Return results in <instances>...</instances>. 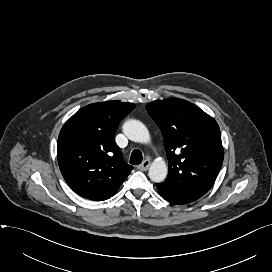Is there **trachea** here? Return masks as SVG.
Masks as SVG:
<instances>
[{
    "label": "trachea",
    "mask_w": 272,
    "mask_h": 272,
    "mask_svg": "<svg viewBox=\"0 0 272 272\" xmlns=\"http://www.w3.org/2000/svg\"><path fill=\"white\" fill-rule=\"evenodd\" d=\"M143 159L142 152L138 149H135L132 151L131 156H130V163L133 165H138L141 164Z\"/></svg>",
    "instance_id": "obj_1"
}]
</instances>
